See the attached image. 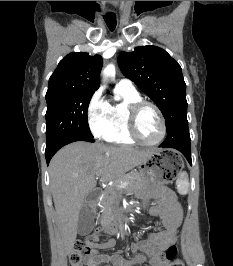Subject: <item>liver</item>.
Returning <instances> with one entry per match:
<instances>
[{
  "mask_svg": "<svg viewBox=\"0 0 233 266\" xmlns=\"http://www.w3.org/2000/svg\"><path fill=\"white\" fill-rule=\"evenodd\" d=\"M153 152L79 141L54 155L49 174L65 255L73 250L80 210L96 186L95 176L99 174L104 182L119 181L126 172L147 161Z\"/></svg>",
  "mask_w": 233,
  "mask_h": 266,
  "instance_id": "6515ba94",
  "label": "liver"
}]
</instances>
